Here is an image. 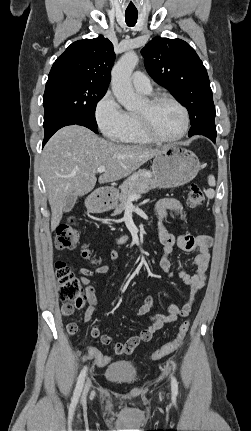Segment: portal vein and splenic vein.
<instances>
[{
  "label": "portal vein and splenic vein",
  "instance_id": "portal-vein-and-splenic-vein-1",
  "mask_svg": "<svg viewBox=\"0 0 251 431\" xmlns=\"http://www.w3.org/2000/svg\"><path fill=\"white\" fill-rule=\"evenodd\" d=\"M105 169L106 168L104 166L98 167L97 172L103 173L105 171ZM138 198H140V195L134 194V195L129 197V201H134V200H137Z\"/></svg>",
  "mask_w": 251,
  "mask_h": 431
}]
</instances>
